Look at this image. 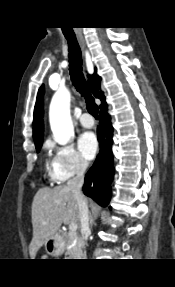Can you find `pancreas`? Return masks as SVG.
I'll return each mask as SVG.
<instances>
[{
  "label": "pancreas",
  "mask_w": 175,
  "mask_h": 287,
  "mask_svg": "<svg viewBox=\"0 0 175 287\" xmlns=\"http://www.w3.org/2000/svg\"><path fill=\"white\" fill-rule=\"evenodd\" d=\"M67 252L72 258H77L81 255L82 242L75 232L67 233Z\"/></svg>",
  "instance_id": "obj_1"
}]
</instances>
